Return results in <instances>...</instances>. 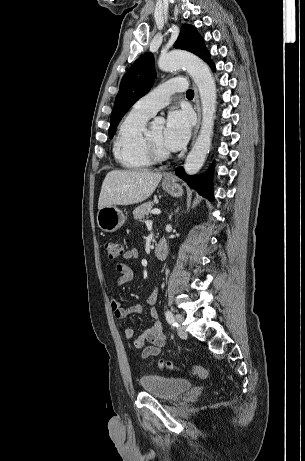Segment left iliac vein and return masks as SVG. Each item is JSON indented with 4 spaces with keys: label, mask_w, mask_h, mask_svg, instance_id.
Segmentation results:
<instances>
[{
    "label": "left iliac vein",
    "mask_w": 305,
    "mask_h": 461,
    "mask_svg": "<svg viewBox=\"0 0 305 461\" xmlns=\"http://www.w3.org/2000/svg\"><path fill=\"white\" fill-rule=\"evenodd\" d=\"M183 320H184V318H183V316L181 314H176L175 315V321L178 324V326L176 328V331H177L178 336L181 337V338H184V337L187 336V333H186L185 329L182 326Z\"/></svg>",
    "instance_id": "1"
}]
</instances>
